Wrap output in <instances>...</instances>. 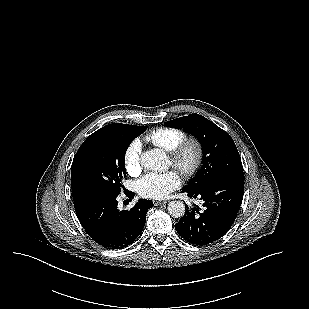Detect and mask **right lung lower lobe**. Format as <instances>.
<instances>
[{
  "instance_id": "98d812e1",
  "label": "right lung lower lobe",
  "mask_w": 309,
  "mask_h": 309,
  "mask_svg": "<svg viewBox=\"0 0 309 309\" xmlns=\"http://www.w3.org/2000/svg\"><path fill=\"white\" fill-rule=\"evenodd\" d=\"M134 197L133 192H127ZM118 195H93L74 202L77 217L88 235L100 246L122 249L143 231L151 200L140 199L130 210L119 211Z\"/></svg>"
}]
</instances>
